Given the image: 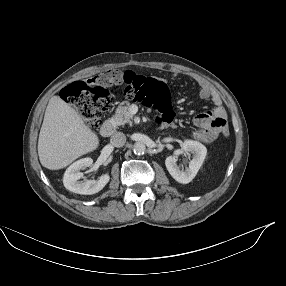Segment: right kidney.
Returning a JSON list of instances; mask_svg holds the SVG:
<instances>
[{
    "label": "right kidney",
    "instance_id": "obj_1",
    "mask_svg": "<svg viewBox=\"0 0 286 286\" xmlns=\"http://www.w3.org/2000/svg\"><path fill=\"white\" fill-rule=\"evenodd\" d=\"M92 163L93 160L91 158H83L71 164L64 174L63 183L65 188L74 193L83 195L95 194L102 190L110 180V176L108 174H103L97 181H78L83 176L80 170L90 167Z\"/></svg>",
    "mask_w": 286,
    "mask_h": 286
}]
</instances>
